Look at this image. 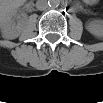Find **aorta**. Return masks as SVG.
Wrapping results in <instances>:
<instances>
[{
    "mask_svg": "<svg viewBox=\"0 0 103 103\" xmlns=\"http://www.w3.org/2000/svg\"><path fill=\"white\" fill-rule=\"evenodd\" d=\"M49 6L54 8V7H57L59 5V1L58 0H50L48 2Z\"/></svg>",
    "mask_w": 103,
    "mask_h": 103,
    "instance_id": "1",
    "label": "aorta"
}]
</instances>
